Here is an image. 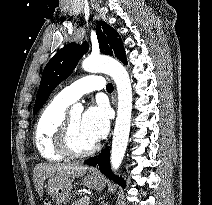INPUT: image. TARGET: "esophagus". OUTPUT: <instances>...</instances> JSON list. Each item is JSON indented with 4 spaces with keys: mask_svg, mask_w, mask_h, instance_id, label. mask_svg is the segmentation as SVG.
<instances>
[{
    "mask_svg": "<svg viewBox=\"0 0 212 205\" xmlns=\"http://www.w3.org/2000/svg\"><path fill=\"white\" fill-rule=\"evenodd\" d=\"M113 101H114V105L116 106V104H117V94H116V92H114ZM94 173H96V172H94Z\"/></svg>",
    "mask_w": 212,
    "mask_h": 205,
    "instance_id": "1",
    "label": "esophagus"
}]
</instances>
